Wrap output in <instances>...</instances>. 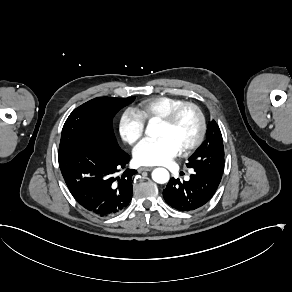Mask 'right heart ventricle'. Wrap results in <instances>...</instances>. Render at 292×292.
Returning <instances> with one entry per match:
<instances>
[{
  "label": "right heart ventricle",
  "mask_w": 292,
  "mask_h": 292,
  "mask_svg": "<svg viewBox=\"0 0 292 292\" xmlns=\"http://www.w3.org/2000/svg\"><path fill=\"white\" fill-rule=\"evenodd\" d=\"M185 102L183 99L172 95H157L139 102L137 111L145 122L158 119L168 112L173 106Z\"/></svg>",
  "instance_id": "right-heart-ventricle-1"
}]
</instances>
